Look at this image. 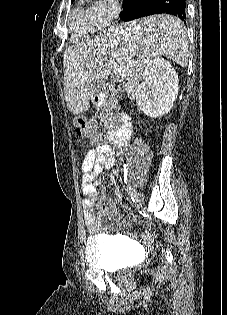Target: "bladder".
<instances>
[{
	"label": "bladder",
	"mask_w": 227,
	"mask_h": 315,
	"mask_svg": "<svg viewBox=\"0 0 227 315\" xmlns=\"http://www.w3.org/2000/svg\"><path fill=\"white\" fill-rule=\"evenodd\" d=\"M132 242L118 236L96 235L89 237L85 245V261L92 268L118 270L129 267L126 261Z\"/></svg>",
	"instance_id": "31cf9c89"
}]
</instances>
